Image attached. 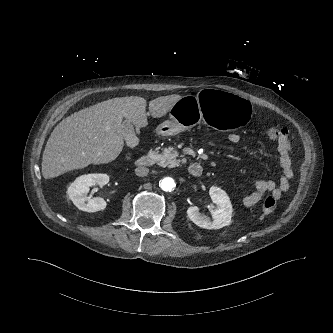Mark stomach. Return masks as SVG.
Returning <instances> with one entry per match:
<instances>
[{"instance_id":"1","label":"stomach","mask_w":333,"mask_h":333,"mask_svg":"<svg viewBox=\"0 0 333 333\" xmlns=\"http://www.w3.org/2000/svg\"><path fill=\"white\" fill-rule=\"evenodd\" d=\"M170 111L171 119L156 128L161 136H173L189 129L197 121V113L218 131L241 128L253 116V107L247 98L219 87H209L195 98L184 96Z\"/></svg>"}]
</instances>
